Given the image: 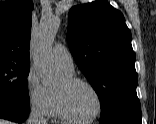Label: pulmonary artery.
<instances>
[{
  "label": "pulmonary artery",
  "mask_w": 156,
  "mask_h": 124,
  "mask_svg": "<svg viewBox=\"0 0 156 124\" xmlns=\"http://www.w3.org/2000/svg\"><path fill=\"white\" fill-rule=\"evenodd\" d=\"M53 57L55 61L68 72L74 71V61L69 50L62 44L57 43L53 47Z\"/></svg>",
  "instance_id": "obj_1"
}]
</instances>
